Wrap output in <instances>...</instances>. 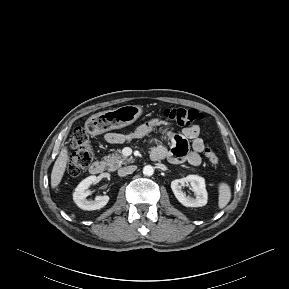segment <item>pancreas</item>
<instances>
[{
    "label": "pancreas",
    "instance_id": "pancreas-1",
    "mask_svg": "<svg viewBox=\"0 0 289 289\" xmlns=\"http://www.w3.org/2000/svg\"><path fill=\"white\" fill-rule=\"evenodd\" d=\"M120 150H116L115 153L104 157V163L110 171H115L121 167L123 164L132 163L134 159L132 157H125L120 154Z\"/></svg>",
    "mask_w": 289,
    "mask_h": 289
}]
</instances>
